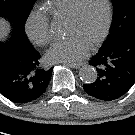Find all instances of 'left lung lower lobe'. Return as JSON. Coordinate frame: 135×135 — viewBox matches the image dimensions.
Here are the masks:
<instances>
[{"label":"left lung lower lobe","instance_id":"1","mask_svg":"<svg viewBox=\"0 0 135 135\" xmlns=\"http://www.w3.org/2000/svg\"><path fill=\"white\" fill-rule=\"evenodd\" d=\"M89 64L96 67L98 77L83 85L85 92L103 101L122 97L135 83V32L103 46Z\"/></svg>","mask_w":135,"mask_h":135}]
</instances>
